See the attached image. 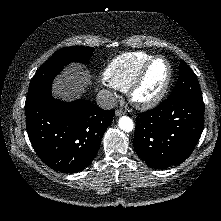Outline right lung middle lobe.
Listing matches in <instances>:
<instances>
[{
    "mask_svg": "<svg viewBox=\"0 0 221 221\" xmlns=\"http://www.w3.org/2000/svg\"><path fill=\"white\" fill-rule=\"evenodd\" d=\"M93 51V47L83 46L65 47L56 51L35 73L29 85L27 98L51 83L55 76L69 63L87 62L93 55Z\"/></svg>",
    "mask_w": 221,
    "mask_h": 221,
    "instance_id": "obj_1",
    "label": "right lung middle lobe"
}]
</instances>
